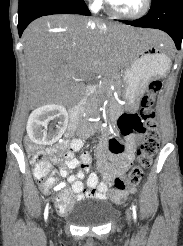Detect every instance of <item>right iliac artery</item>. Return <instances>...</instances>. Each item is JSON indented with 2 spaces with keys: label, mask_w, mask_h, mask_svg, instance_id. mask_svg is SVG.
I'll return each instance as SVG.
<instances>
[{
  "label": "right iliac artery",
  "mask_w": 183,
  "mask_h": 246,
  "mask_svg": "<svg viewBox=\"0 0 183 246\" xmlns=\"http://www.w3.org/2000/svg\"><path fill=\"white\" fill-rule=\"evenodd\" d=\"M48 209H49V204L46 205L45 211H44V219L47 220L48 217Z\"/></svg>",
  "instance_id": "82829eb1"
}]
</instances>
